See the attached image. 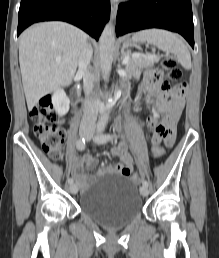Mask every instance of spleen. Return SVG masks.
<instances>
[{"label": "spleen", "mask_w": 219, "mask_h": 258, "mask_svg": "<svg viewBox=\"0 0 219 258\" xmlns=\"http://www.w3.org/2000/svg\"><path fill=\"white\" fill-rule=\"evenodd\" d=\"M133 42H147L177 56L185 69L191 68V56L183 40L175 33L162 29H146L135 33Z\"/></svg>", "instance_id": "spleen-1"}]
</instances>
